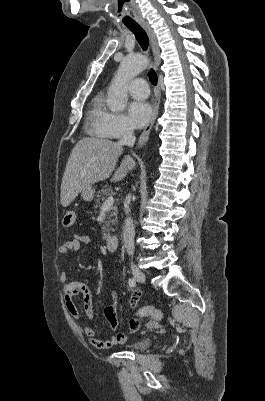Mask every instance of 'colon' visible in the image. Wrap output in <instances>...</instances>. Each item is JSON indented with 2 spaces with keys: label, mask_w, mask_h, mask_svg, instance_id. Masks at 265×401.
<instances>
[{
  "label": "colon",
  "mask_w": 265,
  "mask_h": 401,
  "mask_svg": "<svg viewBox=\"0 0 265 401\" xmlns=\"http://www.w3.org/2000/svg\"><path fill=\"white\" fill-rule=\"evenodd\" d=\"M76 220V213L73 210L66 211L63 217V223L65 226H72ZM147 317L150 319V325L153 326L156 321L163 319V313L153 307H142L139 308L134 317L130 320V329L135 332L139 328V318Z\"/></svg>",
  "instance_id": "5ec220e1"
}]
</instances>
